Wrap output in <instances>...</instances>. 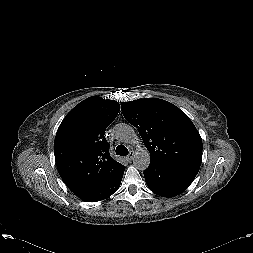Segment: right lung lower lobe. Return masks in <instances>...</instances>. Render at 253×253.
<instances>
[{
    "instance_id": "98d812e1",
    "label": "right lung lower lobe",
    "mask_w": 253,
    "mask_h": 253,
    "mask_svg": "<svg viewBox=\"0 0 253 253\" xmlns=\"http://www.w3.org/2000/svg\"><path fill=\"white\" fill-rule=\"evenodd\" d=\"M122 177H123V173L114 182H112L109 186L100 190L99 192H97L96 194L91 196L86 201L96 202V201H101L103 199L108 198L109 196H111L113 193H115L118 190L121 180H122Z\"/></svg>"
}]
</instances>
